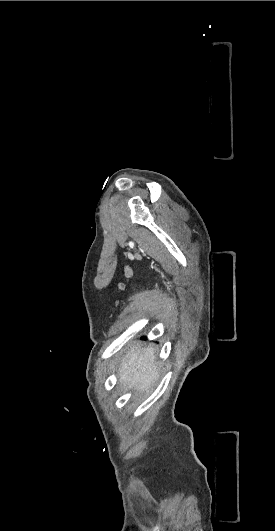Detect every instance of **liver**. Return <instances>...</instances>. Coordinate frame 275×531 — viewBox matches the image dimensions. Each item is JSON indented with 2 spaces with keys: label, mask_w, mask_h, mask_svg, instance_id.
I'll use <instances>...</instances> for the list:
<instances>
[{
  "label": "liver",
  "mask_w": 275,
  "mask_h": 531,
  "mask_svg": "<svg viewBox=\"0 0 275 531\" xmlns=\"http://www.w3.org/2000/svg\"><path fill=\"white\" fill-rule=\"evenodd\" d=\"M118 385L124 389H133L139 393H149L159 377L156 365L155 349L142 347L140 343L133 345L126 353L118 369Z\"/></svg>",
  "instance_id": "obj_1"
}]
</instances>
